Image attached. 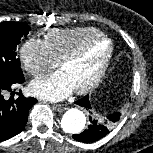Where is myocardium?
Listing matches in <instances>:
<instances>
[{
  "label": "myocardium",
  "mask_w": 153,
  "mask_h": 153,
  "mask_svg": "<svg viewBox=\"0 0 153 153\" xmlns=\"http://www.w3.org/2000/svg\"><path fill=\"white\" fill-rule=\"evenodd\" d=\"M105 41L108 43V50L106 55L104 56L99 68L97 69L96 73L93 75V77L83 86L75 88L74 91L77 94H84L93 89L103 78L104 74L106 73L109 64L111 62V59L114 54V43L112 39L106 35L100 34L98 36H95L93 38H90L86 40L84 43H82L77 49H75L73 52L65 56L60 62L59 67L62 69L65 65L70 64L72 62L77 61L80 59L86 51L95 43Z\"/></svg>",
  "instance_id": "myocardium-1"
}]
</instances>
